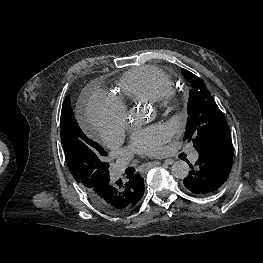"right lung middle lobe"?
I'll return each instance as SVG.
<instances>
[{
  "label": "right lung middle lobe",
  "mask_w": 263,
  "mask_h": 263,
  "mask_svg": "<svg viewBox=\"0 0 263 263\" xmlns=\"http://www.w3.org/2000/svg\"><path fill=\"white\" fill-rule=\"evenodd\" d=\"M60 127L66 162L75 180L86 192L104 184L109 179L107 153L82 132L69 96L62 105Z\"/></svg>",
  "instance_id": "dd1d6c3e"
}]
</instances>
